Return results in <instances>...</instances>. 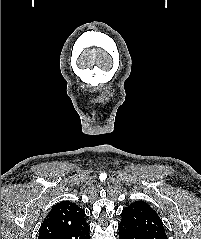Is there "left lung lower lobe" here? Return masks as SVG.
<instances>
[{
    "instance_id": "0a47b994",
    "label": "left lung lower lobe",
    "mask_w": 201,
    "mask_h": 239,
    "mask_svg": "<svg viewBox=\"0 0 201 239\" xmlns=\"http://www.w3.org/2000/svg\"><path fill=\"white\" fill-rule=\"evenodd\" d=\"M119 239H146L132 228L120 223L118 226Z\"/></svg>"
}]
</instances>
